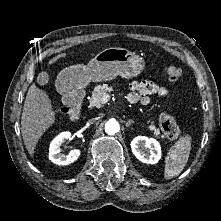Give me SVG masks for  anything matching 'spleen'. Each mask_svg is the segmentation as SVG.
Returning <instances> with one entry per match:
<instances>
[{
	"label": "spleen",
	"instance_id": "obj_1",
	"mask_svg": "<svg viewBox=\"0 0 221 221\" xmlns=\"http://www.w3.org/2000/svg\"><path fill=\"white\" fill-rule=\"evenodd\" d=\"M191 140L190 135L182 136L169 149L165 158V179H171L182 172L190 155Z\"/></svg>",
	"mask_w": 221,
	"mask_h": 221
}]
</instances>
